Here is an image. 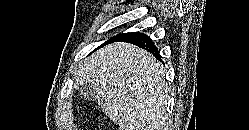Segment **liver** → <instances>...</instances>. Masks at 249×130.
<instances>
[{
	"mask_svg": "<svg viewBox=\"0 0 249 130\" xmlns=\"http://www.w3.org/2000/svg\"><path fill=\"white\" fill-rule=\"evenodd\" d=\"M164 74L149 52L114 43L86 59L75 88L94 84L98 105L119 130H162L168 101Z\"/></svg>",
	"mask_w": 249,
	"mask_h": 130,
	"instance_id": "obj_1",
	"label": "liver"
}]
</instances>
